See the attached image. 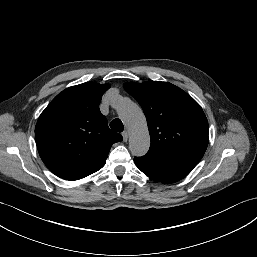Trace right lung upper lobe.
Returning <instances> with one entry per match:
<instances>
[{
    "instance_id": "1",
    "label": "right lung upper lobe",
    "mask_w": 257,
    "mask_h": 257,
    "mask_svg": "<svg viewBox=\"0 0 257 257\" xmlns=\"http://www.w3.org/2000/svg\"><path fill=\"white\" fill-rule=\"evenodd\" d=\"M109 84L86 82L58 94L35 127L37 149L47 168L66 180L101 169L122 136L109 129L99 104Z\"/></svg>"
}]
</instances>
